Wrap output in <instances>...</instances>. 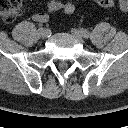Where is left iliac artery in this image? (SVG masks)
Listing matches in <instances>:
<instances>
[{
    "instance_id": "left-iliac-artery-1",
    "label": "left iliac artery",
    "mask_w": 128,
    "mask_h": 128,
    "mask_svg": "<svg viewBox=\"0 0 128 128\" xmlns=\"http://www.w3.org/2000/svg\"><path fill=\"white\" fill-rule=\"evenodd\" d=\"M80 32L82 33L83 37L89 38L90 33L88 30L82 28L80 29Z\"/></svg>"
}]
</instances>
